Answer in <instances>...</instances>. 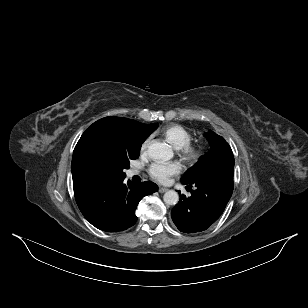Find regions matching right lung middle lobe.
I'll use <instances>...</instances> for the list:
<instances>
[{
	"mask_svg": "<svg viewBox=\"0 0 308 308\" xmlns=\"http://www.w3.org/2000/svg\"><path fill=\"white\" fill-rule=\"evenodd\" d=\"M158 127V123L151 124L149 128V133H152ZM140 149L130 153V154H123L117 157L115 161L117 175L119 178L125 177V173L123 172L124 169L129 168V161L133 159H137L139 157Z\"/></svg>",
	"mask_w": 308,
	"mask_h": 308,
	"instance_id": "dd1d6c3e",
	"label": "right lung middle lobe"
}]
</instances>
